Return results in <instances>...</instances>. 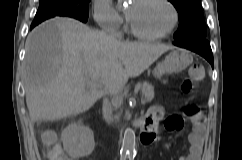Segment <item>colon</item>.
Here are the masks:
<instances>
[{
  "label": "colon",
  "mask_w": 242,
  "mask_h": 160,
  "mask_svg": "<svg viewBox=\"0 0 242 160\" xmlns=\"http://www.w3.org/2000/svg\"><path fill=\"white\" fill-rule=\"evenodd\" d=\"M204 77V69L200 64H193L189 69V76L182 82L181 90L184 94L192 93L198 82ZM186 115L192 118L200 119V114L197 108L190 107L186 110ZM44 142L50 147L49 156L51 160H65V154L60 146L56 144V135L52 132H47L43 136Z\"/></svg>",
  "instance_id": "5ec220e1"
}]
</instances>
